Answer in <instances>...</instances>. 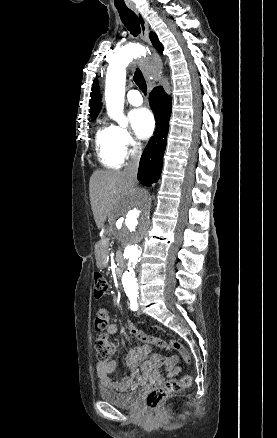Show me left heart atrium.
Segmentation results:
<instances>
[{
    "label": "left heart atrium",
    "instance_id": "1",
    "mask_svg": "<svg viewBox=\"0 0 277 438\" xmlns=\"http://www.w3.org/2000/svg\"><path fill=\"white\" fill-rule=\"evenodd\" d=\"M130 117L137 136L141 139H147L154 128L152 113L146 108H141L133 110Z\"/></svg>",
    "mask_w": 277,
    "mask_h": 438
}]
</instances>
